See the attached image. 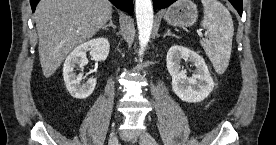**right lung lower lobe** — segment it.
Segmentation results:
<instances>
[{
  "label": "right lung lower lobe",
  "instance_id": "1",
  "mask_svg": "<svg viewBox=\"0 0 276 145\" xmlns=\"http://www.w3.org/2000/svg\"><path fill=\"white\" fill-rule=\"evenodd\" d=\"M117 8L126 11L130 15L133 12V2L132 0H109ZM39 0H30L32 11H35L36 5Z\"/></svg>",
  "mask_w": 276,
  "mask_h": 145
}]
</instances>
